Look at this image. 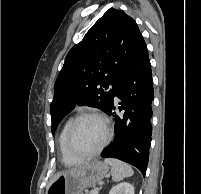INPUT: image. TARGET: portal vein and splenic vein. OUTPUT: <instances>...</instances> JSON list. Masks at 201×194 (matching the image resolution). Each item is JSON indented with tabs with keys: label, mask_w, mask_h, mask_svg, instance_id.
I'll use <instances>...</instances> for the list:
<instances>
[{
	"label": "portal vein and splenic vein",
	"mask_w": 201,
	"mask_h": 194,
	"mask_svg": "<svg viewBox=\"0 0 201 194\" xmlns=\"http://www.w3.org/2000/svg\"><path fill=\"white\" fill-rule=\"evenodd\" d=\"M98 189H93L92 191H91V194H98Z\"/></svg>",
	"instance_id": "obj_1"
}]
</instances>
